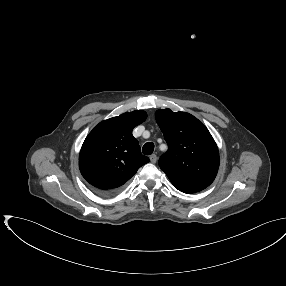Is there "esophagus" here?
Instances as JSON below:
<instances>
[{
	"label": "esophagus",
	"instance_id": "34e87169",
	"mask_svg": "<svg viewBox=\"0 0 286 286\" xmlns=\"http://www.w3.org/2000/svg\"><path fill=\"white\" fill-rule=\"evenodd\" d=\"M150 161H151L152 163H156V162H157V156H156V154H152V155L150 156Z\"/></svg>",
	"mask_w": 286,
	"mask_h": 286
}]
</instances>
